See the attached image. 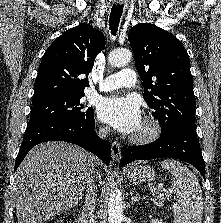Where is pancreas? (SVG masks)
I'll use <instances>...</instances> for the list:
<instances>
[{
  "label": "pancreas",
  "mask_w": 221,
  "mask_h": 223,
  "mask_svg": "<svg viewBox=\"0 0 221 223\" xmlns=\"http://www.w3.org/2000/svg\"><path fill=\"white\" fill-rule=\"evenodd\" d=\"M155 195L152 198V201L154 202V204L158 207L164 206V201H165L164 195L161 193H156Z\"/></svg>",
  "instance_id": "obj_1"
}]
</instances>
